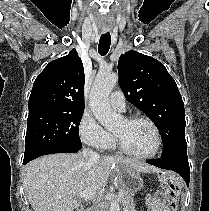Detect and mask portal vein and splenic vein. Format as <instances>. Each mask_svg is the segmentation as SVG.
Wrapping results in <instances>:
<instances>
[{"instance_id": "obj_1", "label": "portal vein and splenic vein", "mask_w": 209, "mask_h": 211, "mask_svg": "<svg viewBox=\"0 0 209 211\" xmlns=\"http://www.w3.org/2000/svg\"><path fill=\"white\" fill-rule=\"evenodd\" d=\"M95 194H96L95 191L88 189V190H85V191L81 192L79 194V198H94ZM118 196L122 197L123 196V192H119Z\"/></svg>"}]
</instances>
